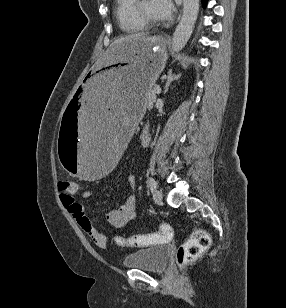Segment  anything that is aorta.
<instances>
[{"label": "aorta", "mask_w": 286, "mask_h": 308, "mask_svg": "<svg viewBox=\"0 0 286 308\" xmlns=\"http://www.w3.org/2000/svg\"><path fill=\"white\" fill-rule=\"evenodd\" d=\"M199 7L200 0H183V14L173 34L172 51L182 50L188 42L198 17Z\"/></svg>", "instance_id": "1"}]
</instances>
